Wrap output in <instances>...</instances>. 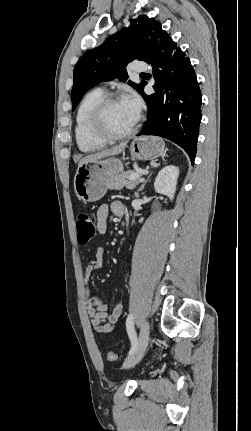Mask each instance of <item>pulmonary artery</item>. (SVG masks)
<instances>
[{"label":"pulmonary artery","mask_w":251,"mask_h":431,"mask_svg":"<svg viewBox=\"0 0 251 431\" xmlns=\"http://www.w3.org/2000/svg\"><path fill=\"white\" fill-rule=\"evenodd\" d=\"M149 69V66L147 63L145 62H135L132 65V70L134 72L140 73V72H145Z\"/></svg>","instance_id":"obj_1"}]
</instances>
